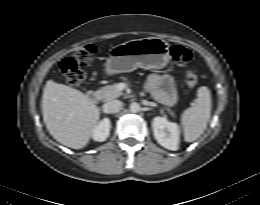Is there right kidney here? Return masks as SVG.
<instances>
[{
    "label": "right kidney",
    "instance_id": "ca27d5eb",
    "mask_svg": "<svg viewBox=\"0 0 260 205\" xmlns=\"http://www.w3.org/2000/svg\"><path fill=\"white\" fill-rule=\"evenodd\" d=\"M111 122L108 118H104L95 127L92 137L95 141L103 142L110 134Z\"/></svg>",
    "mask_w": 260,
    "mask_h": 205
}]
</instances>
